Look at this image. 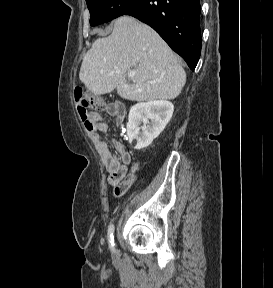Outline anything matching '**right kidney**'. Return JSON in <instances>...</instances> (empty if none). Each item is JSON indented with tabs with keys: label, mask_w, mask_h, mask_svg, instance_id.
I'll use <instances>...</instances> for the list:
<instances>
[{
	"label": "right kidney",
	"mask_w": 273,
	"mask_h": 288,
	"mask_svg": "<svg viewBox=\"0 0 273 288\" xmlns=\"http://www.w3.org/2000/svg\"><path fill=\"white\" fill-rule=\"evenodd\" d=\"M173 111L174 105L163 100L137 103L132 106L128 117L127 136L130 143L136 140L134 149L148 147L164 130Z\"/></svg>",
	"instance_id": "1"
}]
</instances>
